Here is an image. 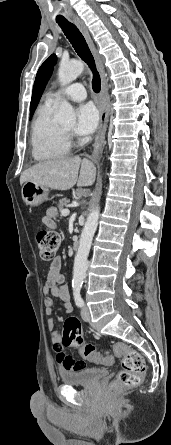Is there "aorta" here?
<instances>
[{
    "label": "aorta",
    "instance_id": "762f6f07",
    "mask_svg": "<svg viewBox=\"0 0 171 445\" xmlns=\"http://www.w3.org/2000/svg\"><path fill=\"white\" fill-rule=\"evenodd\" d=\"M84 70V63L80 60L62 62L58 70V79L62 86L74 81ZM56 120L60 123H74L76 115L72 105L65 99L60 102ZM100 210L97 207L92 210L87 217L83 228L79 248L74 259L73 284L81 285L86 276L88 263L87 258L91 248V243L98 226Z\"/></svg>",
    "mask_w": 171,
    "mask_h": 445
}]
</instances>
